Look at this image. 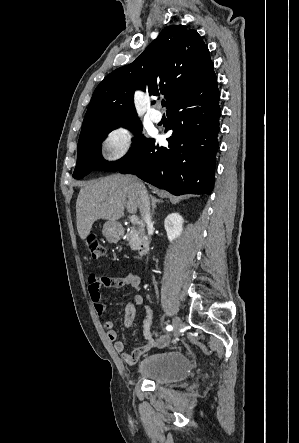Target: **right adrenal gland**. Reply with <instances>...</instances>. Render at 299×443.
Instances as JSON below:
<instances>
[{"instance_id": "right-adrenal-gland-1", "label": "right adrenal gland", "mask_w": 299, "mask_h": 443, "mask_svg": "<svg viewBox=\"0 0 299 443\" xmlns=\"http://www.w3.org/2000/svg\"><path fill=\"white\" fill-rule=\"evenodd\" d=\"M152 201V215L155 214V209L157 208V203L163 202L160 199L155 198L153 195H150Z\"/></svg>"}]
</instances>
